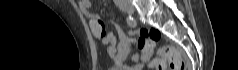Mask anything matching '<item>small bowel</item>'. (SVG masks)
Wrapping results in <instances>:
<instances>
[{
	"label": "small bowel",
	"mask_w": 238,
	"mask_h": 70,
	"mask_svg": "<svg viewBox=\"0 0 238 70\" xmlns=\"http://www.w3.org/2000/svg\"><path fill=\"white\" fill-rule=\"evenodd\" d=\"M78 4L80 10L89 20V27L92 34L100 39L103 44L107 45V52L114 62V67L118 70H142L144 64L149 61L151 56L145 55L140 46V39L138 41V46L142 53L140 55L135 54L132 63L128 64L126 60L134 42L132 37L133 32L126 31L116 24V36L113 32L107 30L104 20L99 15L91 12V3L89 0H80Z\"/></svg>",
	"instance_id": "obj_1"
}]
</instances>
